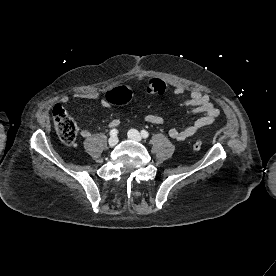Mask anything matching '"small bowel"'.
Listing matches in <instances>:
<instances>
[{"instance_id": "small-bowel-1", "label": "small bowel", "mask_w": 276, "mask_h": 276, "mask_svg": "<svg viewBox=\"0 0 276 276\" xmlns=\"http://www.w3.org/2000/svg\"><path fill=\"white\" fill-rule=\"evenodd\" d=\"M152 80L147 84V91L151 94H164L168 91L167 87L160 91L158 89H153L151 86ZM172 95L174 96H185V99L180 103V108L186 109L191 113H202V116L194 119L190 124L183 128H171L168 132L169 136L175 141H184L202 128L212 124L219 117L220 111L211 101L210 97L200 91H189L187 92L182 86H175L171 90ZM74 99H88L100 101L104 107H109L110 104L104 98H102L97 92H79L73 95ZM61 103L66 104L69 101L67 96H63L60 99ZM145 121L154 124L162 125L165 123L163 117L156 114H147L145 116ZM120 124L119 118H114L110 121L109 126L115 128ZM81 136L83 138H89L91 136V131L88 129L81 130Z\"/></svg>"}]
</instances>
